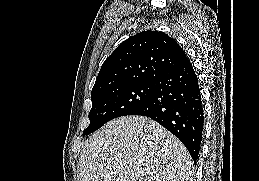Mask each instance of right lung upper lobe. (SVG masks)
Here are the masks:
<instances>
[{
    "mask_svg": "<svg viewBox=\"0 0 259 181\" xmlns=\"http://www.w3.org/2000/svg\"><path fill=\"white\" fill-rule=\"evenodd\" d=\"M187 59L179 44L159 31H143L122 42L105 60L91 95L133 84L154 83Z\"/></svg>",
    "mask_w": 259,
    "mask_h": 181,
    "instance_id": "right-lung-upper-lobe-1",
    "label": "right lung upper lobe"
}]
</instances>
